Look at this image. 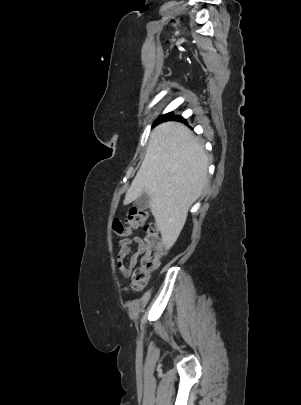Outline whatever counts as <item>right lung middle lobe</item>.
Instances as JSON below:
<instances>
[{
	"instance_id": "dd1d6c3e",
	"label": "right lung middle lobe",
	"mask_w": 301,
	"mask_h": 405,
	"mask_svg": "<svg viewBox=\"0 0 301 405\" xmlns=\"http://www.w3.org/2000/svg\"><path fill=\"white\" fill-rule=\"evenodd\" d=\"M171 117H174V115H173L172 113H168V114L162 115V116H160V118L157 120L156 124L159 123V122L165 121V120H167V119H169V118H171Z\"/></svg>"
}]
</instances>
